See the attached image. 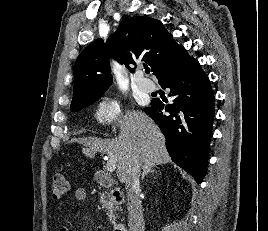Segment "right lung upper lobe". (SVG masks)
<instances>
[{"label": "right lung upper lobe", "mask_w": 268, "mask_h": 231, "mask_svg": "<svg viewBox=\"0 0 268 231\" xmlns=\"http://www.w3.org/2000/svg\"><path fill=\"white\" fill-rule=\"evenodd\" d=\"M123 63L131 72L136 59L150 65L159 80L164 74L194 59L177 44L157 19L135 16L123 20L107 42L99 38L78 56L74 68L71 105L101 98L112 82L109 57Z\"/></svg>", "instance_id": "cb5924a9"}]
</instances>
